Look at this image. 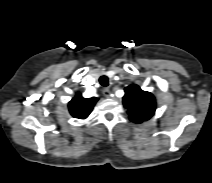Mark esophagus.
I'll use <instances>...</instances> for the list:
<instances>
[{
    "mask_svg": "<svg viewBox=\"0 0 212 183\" xmlns=\"http://www.w3.org/2000/svg\"><path fill=\"white\" fill-rule=\"evenodd\" d=\"M103 95L106 97V98H109L111 96V92L109 90V88H104L103 89Z\"/></svg>",
    "mask_w": 212,
    "mask_h": 183,
    "instance_id": "esophagus-1",
    "label": "esophagus"
}]
</instances>
